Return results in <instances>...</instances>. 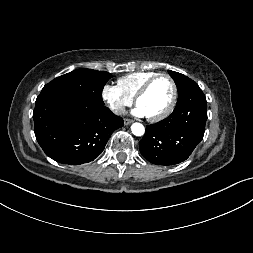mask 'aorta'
Returning a JSON list of instances; mask_svg holds the SVG:
<instances>
[{
	"mask_svg": "<svg viewBox=\"0 0 253 253\" xmlns=\"http://www.w3.org/2000/svg\"><path fill=\"white\" fill-rule=\"evenodd\" d=\"M131 131L135 136H142L145 132V128L141 123H133L131 125Z\"/></svg>",
	"mask_w": 253,
	"mask_h": 253,
	"instance_id": "1",
	"label": "aorta"
}]
</instances>
